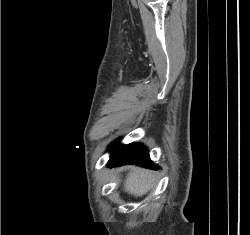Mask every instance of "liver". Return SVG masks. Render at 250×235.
I'll use <instances>...</instances> for the list:
<instances>
[{
  "instance_id": "1",
  "label": "liver",
  "mask_w": 250,
  "mask_h": 235,
  "mask_svg": "<svg viewBox=\"0 0 250 235\" xmlns=\"http://www.w3.org/2000/svg\"><path fill=\"white\" fill-rule=\"evenodd\" d=\"M154 185V174L151 171L133 167L129 172L125 183L124 190L134 196L146 194Z\"/></svg>"
}]
</instances>
